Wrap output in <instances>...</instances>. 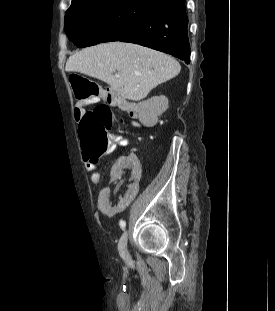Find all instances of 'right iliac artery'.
Segmentation results:
<instances>
[{
    "label": "right iliac artery",
    "mask_w": 275,
    "mask_h": 311,
    "mask_svg": "<svg viewBox=\"0 0 275 311\" xmlns=\"http://www.w3.org/2000/svg\"><path fill=\"white\" fill-rule=\"evenodd\" d=\"M119 225H120V227H121L122 229H124L125 226H126V222L123 221V220H121V221L119 222Z\"/></svg>",
    "instance_id": "obj_1"
}]
</instances>
